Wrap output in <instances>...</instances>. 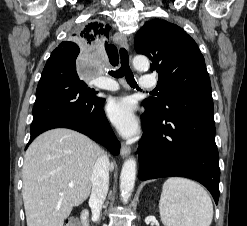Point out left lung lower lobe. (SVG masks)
I'll list each match as a JSON object with an SVG mask.
<instances>
[{
    "mask_svg": "<svg viewBox=\"0 0 247 226\" xmlns=\"http://www.w3.org/2000/svg\"><path fill=\"white\" fill-rule=\"evenodd\" d=\"M145 108L138 148V178L194 179L210 191L217 204L220 169L211 91L176 94L163 113Z\"/></svg>",
    "mask_w": 247,
    "mask_h": 226,
    "instance_id": "0a47b994",
    "label": "left lung lower lobe"
}]
</instances>
